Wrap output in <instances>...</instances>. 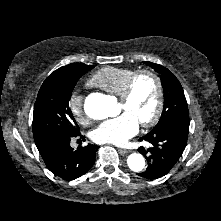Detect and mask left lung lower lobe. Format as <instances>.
Returning a JSON list of instances; mask_svg holds the SVG:
<instances>
[{
  "instance_id": "0a47b994",
  "label": "left lung lower lobe",
  "mask_w": 221,
  "mask_h": 221,
  "mask_svg": "<svg viewBox=\"0 0 221 221\" xmlns=\"http://www.w3.org/2000/svg\"><path fill=\"white\" fill-rule=\"evenodd\" d=\"M189 119H179L160 129L151 130L140 141H147L151 147H139L148 162L144 172L137 175L146 179H157L166 175L181 157L189 133Z\"/></svg>"
}]
</instances>
